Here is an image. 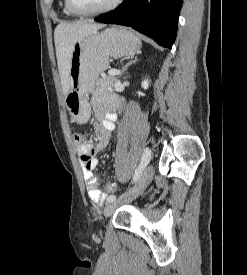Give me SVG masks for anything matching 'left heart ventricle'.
<instances>
[{"label": "left heart ventricle", "mask_w": 247, "mask_h": 275, "mask_svg": "<svg viewBox=\"0 0 247 275\" xmlns=\"http://www.w3.org/2000/svg\"><path fill=\"white\" fill-rule=\"evenodd\" d=\"M112 0H72L75 7L83 11H92L102 8Z\"/></svg>", "instance_id": "1"}]
</instances>
